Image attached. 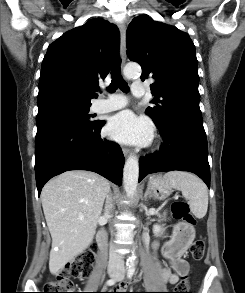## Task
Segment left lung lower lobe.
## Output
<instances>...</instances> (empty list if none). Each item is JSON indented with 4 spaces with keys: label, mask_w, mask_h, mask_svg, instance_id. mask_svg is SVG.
I'll return each instance as SVG.
<instances>
[{
    "label": "left lung lower lobe",
    "mask_w": 245,
    "mask_h": 293,
    "mask_svg": "<svg viewBox=\"0 0 245 293\" xmlns=\"http://www.w3.org/2000/svg\"><path fill=\"white\" fill-rule=\"evenodd\" d=\"M163 137L159 152L139 160V182L150 173L189 171L210 188L208 146L203 122L187 116H173L157 125Z\"/></svg>",
    "instance_id": "0a47b994"
}]
</instances>
